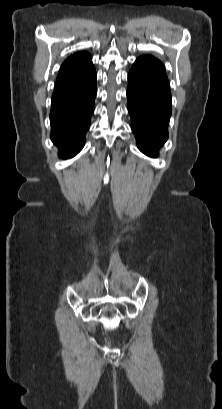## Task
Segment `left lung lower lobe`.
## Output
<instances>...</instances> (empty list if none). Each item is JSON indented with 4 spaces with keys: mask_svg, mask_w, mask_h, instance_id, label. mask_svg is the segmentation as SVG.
Listing matches in <instances>:
<instances>
[{
    "mask_svg": "<svg viewBox=\"0 0 222 409\" xmlns=\"http://www.w3.org/2000/svg\"><path fill=\"white\" fill-rule=\"evenodd\" d=\"M128 111L138 148L158 156L168 138L171 93L168 81L131 69L128 75Z\"/></svg>",
    "mask_w": 222,
    "mask_h": 409,
    "instance_id": "1",
    "label": "left lung lower lobe"
}]
</instances>
